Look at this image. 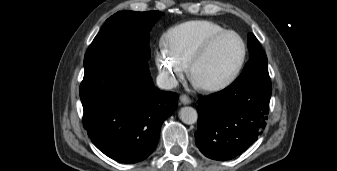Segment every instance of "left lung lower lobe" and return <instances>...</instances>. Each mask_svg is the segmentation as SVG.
<instances>
[{
  "instance_id": "0a47b994",
  "label": "left lung lower lobe",
  "mask_w": 337,
  "mask_h": 171,
  "mask_svg": "<svg viewBox=\"0 0 337 171\" xmlns=\"http://www.w3.org/2000/svg\"><path fill=\"white\" fill-rule=\"evenodd\" d=\"M271 83L231 84L198 100L195 141L208 158L227 161L243 153L262 134L271 98Z\"/></svg>"
}]
</instances>
